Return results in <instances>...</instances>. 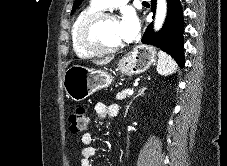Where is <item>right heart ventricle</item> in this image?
<instances>
[{
    "label": "right heart ventricle",
    "mask_w": 227,
    "mask_h": 166,
    "mask_svg": "<svg viewBox=\"0 0 227 166\" xmlns=\"http://www.w3.org/2000/svg\"><path fill=\"white\" fill-rule=\"evenodd\" d=\"M98 11H102V8H100L99 6H97L93 1L86 7L84 8L75 18L72 28H71V44H72V48L73 51L75 52L76 55H78L79 57H83V58H89L92 57L94 54L84 48H82L77 40V29L78 26L80 24V22L87 17L89 14L98 12Z\"/></svg>",
    "instance_id": "obj_1"
}]
</instances>
